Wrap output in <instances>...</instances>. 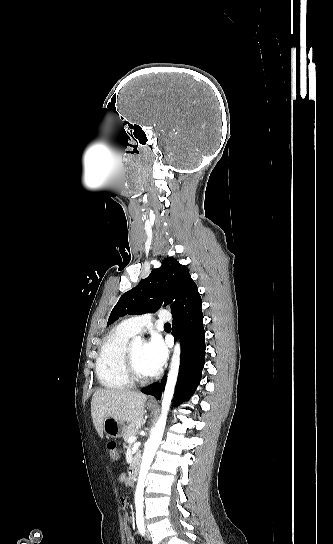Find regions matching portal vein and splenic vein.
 I'll list each match as a JSON object with an SVG mask.
<instances>
[{
  "instance_id": "18ae733b",
  "label": "portal vein and splenic vein",
  "mask_w": 333,
  "mask_h": 544,
  "mask_svg": "<svg viewBox=\"0 0 333 544\" xmlns=\"http://www.w3.org/2000/svg\"><path fill=\"white\" fill-rule=\"evenodd\" d=\"M137 437L136 436H131L129 439H128V443H134L136 441Z\"/></svg>"
}]
</instances>
